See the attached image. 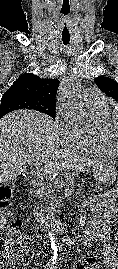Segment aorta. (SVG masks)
Instances as JSON below:
<instances>
[{
    "mask_svg": "<svg viewBox=\"0 0 118 269\" xmlns=\"http://www.w3.org/2000/svg\"><path fill=\"white\" fill-rule=\"evenodd\" d=\"M59 99L62 109L68 113L80 127L91 130L94 121L88 111L84 108L81 96V83L75 75L67 76L61 84ZM51 249L57 251V244L52 233H48Z\"/></svg>",
    "mask_w": 118,
    "mask_h": 269,
    "instance_id": "aorta-1",
    "label": "aorta"
}]
</instances>
